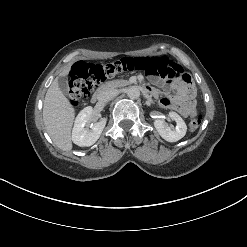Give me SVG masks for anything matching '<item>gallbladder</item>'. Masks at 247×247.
Segmentation results:
<instances>
[{"label":"gallbladder","instance_id":"gallbladder-1","mask_svg":"<svg viewBox=\"0 0 247 247\" xmlns=\"http://www.w3.org/2000/svg\"><path fill=\"white\" fill-rule=\"evenodd\" d=\"M58 86L60 88V90L62 91V93H64L65 95L68 94V80L66 77H59L58 78Z\"/></svg>","mask_w":247,"mask_h":247}]
</instances>
